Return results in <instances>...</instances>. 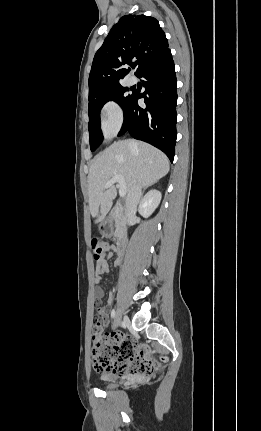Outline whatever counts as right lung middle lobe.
<instances>
[{"mask_svg":"<svg viewBox=\"0 0 261 431\" xmlns=\"http://www.w3.org/2000/svg\"><path fill=\"white\" fill-rule=\"evenodd\" d=\"M129 89L123 87L121 84L112 86L100 92L89 95V135H90V149L95 151L103 140V135L100 128V110L103 105L108 101H115L124 110L131 95L126 92Z\"/></svg>","mask_w":261,"mask_h":431,"instance_id":"obj_1","label":"right lung middle lobe"}]
</instances>
